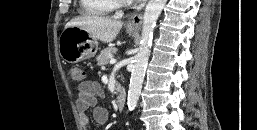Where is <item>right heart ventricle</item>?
<instances>
[{"label": "right heart ventricle", "instance_id": "1", "mask_svg": "<svg viewBox=\"0 0 257 130\" xmlns=\"http://www.w3.org/2000/svg\"><path fill=\"white\" fill-rule=\"evenodd\" d=\"M111 0H80L81 12L88 15L104 16L115 10Z\"/></svg>", "mask_w": 257, "mask_h": 130}]
</instances>
